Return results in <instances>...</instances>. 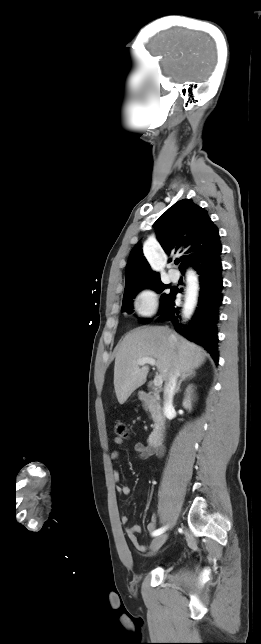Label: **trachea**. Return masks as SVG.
I'll use <instances>...</instances> for the list:
<instances>
[{
    "instance_id": "3493384b",
    "label": "trachea",
    "mask_w": 261,
    "mask_h": 644,
    "mask_svg": "<svg viewBox=\"0 0 261 644\" xmlns=\"http://www.w3.org/2000/svg\"><path fill=\"white\" fill-rule=\"evenodd\" d=\"M179 262H180L179 260H175V264H179Z\"/></svg>"
}]
</instances>
